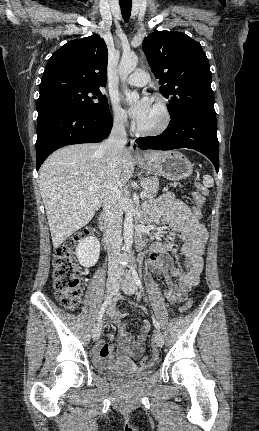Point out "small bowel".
I'll return each instance as SVG.
<instances>
[{
	"mask_svg": "<svg viewBox=\"0 0 259 431\" xmlns=\"http://www.w3.org/2000/svg\"><path fill=\"white\" fill-rule=\"evenodd\" d=\"M194 212L170 193L163 194L152 209L151 215L159 226H168L172 230L168 241H156L151 247L150 259L147 268L161 274L168 289L164 297L170 304L180 303L190 294L192 288L199 282L203 270V254L208 239V233L200 219L193 217ZM183 239L179 251L182 258V268L173 263L167 253L175 248L177 237ZM176 279L177 282H174ZM119 331L118 348L114 351L113 345L99 341L96 345V360L99 364L107 365L113 360L131 363L141 357L150 331V324L144 321L141 325L137 339L127 331L122 318L125 313L112 306L109 310ZM109 339L113 335L109 333Z\"/></svg>",
	"mask_w": 259,
	"mask_h": 431,
	"instance_id": "small-bowel-1",
	"label": "small bowel"
}]
</instances>
